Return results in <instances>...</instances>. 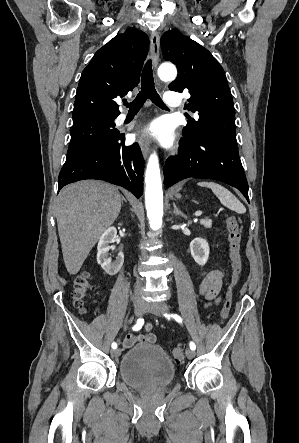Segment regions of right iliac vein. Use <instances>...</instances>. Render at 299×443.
<instances>
[{
    "label": "right iliac vein",
    "instance_id": "right-iliac-vein-1",
    "mask_svg": "<svg viewBox=\"0 0 299 443\" xmlns=\"http://www.w3.org/2000/svg\"><path fill=\"white\" fill-rule=\"evenodd\" d=\"M146 310V305L140 301L134 302V313L137 317H140ZM112 356L118 358L121 354V350L115 349L111 352Z\"/></svg>",
    "mask_w": 299,
    "mask_h": 443
}]
</instances>
